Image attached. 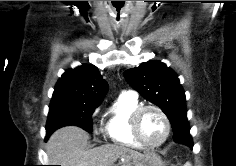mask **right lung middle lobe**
I'll list each match as a JSON object with an SVG mask.
<instances>
[{"label":"right lung middle lobe","instance_id":"obj_1","mask_svg":"<svg viewBox=\"0 0 236 166\" xmlns=\"http://www.w3.org/2000/svg\"><path fill=\"white\" fill-rule=\"evenodd\" d=\"M97 104L83 103L71 100L51 101L46 124V138L56 129L76 125L87 132L93 131L92 114Z\"/></svg>","mask_w":236,"mask_h":166}]
</instances>
